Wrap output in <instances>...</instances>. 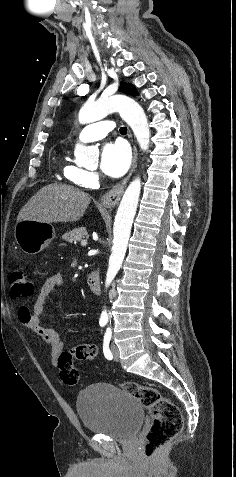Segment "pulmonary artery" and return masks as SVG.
I'll use <instances>...</instances> for the list:
<instances>
[{"mask_svg": "<svg viewBox=\"0 0 236 477\" xmlns=\"http://www.w3.org/2000/svg\"><path fill=\"white\" fill-rule=\"evenodd\" d=\"M115 127L111 120H102L88 124L79 134V140L89 142L103 139Z\"/></svg>", "mask_w": 236, "mask_h": 477, "instance_id": "pulmonary-artery-1", "label": "pulmonary artery"}]
</instances>
